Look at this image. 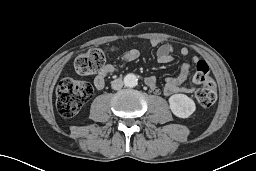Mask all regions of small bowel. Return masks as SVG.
I'll return each instance as SVG.
<instances>
[{"instance_id":"small-bowel-1","label":"small bowel","mask_w":256,"mask_h":171,"mask_svg":"<svg viewBox=\"0 0 256 171\" xmlns=\"http://www.w3.org/2000/svg\"><path fill=\"white\" fill-rule=\"evenodd\" d=\"M151 45L157 48V59L162 64H168L173 60V46L162 39L155 38L151 40ZM181 55L187 56L189 54V49L183 47L180 50ZM139 55L136 49H131L125 52L122 56L124 61L130 62L135 60ZM194 62L200 61L198 57L193 58ZM115 72V66L113 64H105L99 72H97L94 78V86L96 89L101 90L104 88L105 79L107 76ZM191 74V64L185 63L181 66L180 72L175 77H169L166 79L163 86V94L165 96H170L176 93H184L193 91L192 86H184L183 84L188 80ZM146 84L154 93H159L160 90L157 85V81L154 77L146 78Z\"/></svg>"}]
</instances>
